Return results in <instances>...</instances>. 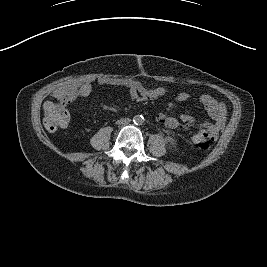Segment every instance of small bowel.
Listing matches in <instances>:
<instances>
[{
	"mask_svg": "<svg viewBox=\"0 0 267 267\" xmlns=\"http://www.w3.org/2000/svg\"><path fill=\"white\" fill-rule=\"evenodd\" d=\"M132 100L136 102L154 101L160 97H163L167 90L163 86L155 88L146 87L140 83H131L127 85ZM92 91V85L90 83H81L72 86L68 91L58 94L57 99L64 105H68L74 100H83L90 95ZM191 98V94L188 92H179L175 99L178 102H186ZM199 103L206 110L210 117V121H204L199 125V132L208 133L216 140L224 127L226 119V107L225 105L208 94H203L198 99ZM159 119L164 125L171 129H177L181 125L186 127L196 124L194 116L184 113L179 118L166 116L160 114Z\"/></svg>",
	"mask_w": 267,
	"mask_h": 267,
	"instance_id": "obj_1",
	"label": "small bowel"
}]
</instances>
